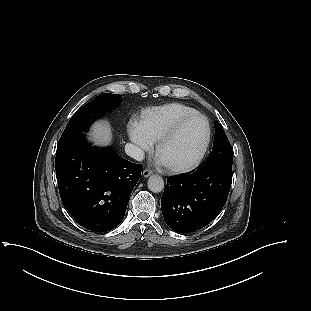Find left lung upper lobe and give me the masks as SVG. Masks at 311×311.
<instances>
[{
    "mask_svg": "<svg viewBox=\"0 0 311 311\" xmlns=\"http://www.w3.org/2000/svg\"><path fill=\"white\" fill-rule=\"evenodd\" d=\"M233 154L230 142L222 125L215 121V139L213 148L202 166L221 165L232 168Z\"/></svg>",
    "mask_w": 311,
    "mask_h": 311,
    "instance_id": "5c2ea615",
    "label": "left lung upper lobe"
}]
</instances>
